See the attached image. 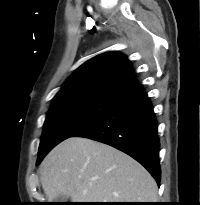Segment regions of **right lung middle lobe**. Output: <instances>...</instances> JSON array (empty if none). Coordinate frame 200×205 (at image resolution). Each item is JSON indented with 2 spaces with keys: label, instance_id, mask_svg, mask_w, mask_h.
<instances>
[{
  "label": "right lung middle lobe",
  "instance_id": "obj_1",
  "mask_svg": "<svg viewBox=\"0 0 200 205\" xmlns=\"http://www.w3.org/2000/svg\"><path fill=\"white\" fill-rule=\"evenodd\" d=\"M114 102L102 98H74L52 104L44 123L37 165L55 145L97 119Z\"/></svg>",
  "mask_w": 200,
  "mask_h": 205
}]
</instances>
